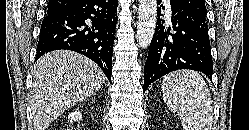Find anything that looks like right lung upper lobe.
I'll return each mask as SVG.
<instances>
[{"label": "right lung upper lobe", "mask_w": 249, "mask_h": 130, "mask_svg": "<svg viewBox=\"0 0 249 130\" xmlns=\"http://www.w3.org/2000/svg\"><path fill=\"white\" fill-rule=\"evenodd\" d=\"M79 0H49L48 15L60 13L68 8H71Z\"/></svg>", "instance_id": "right-lung-upper-lobe-1"}]
</instances>
